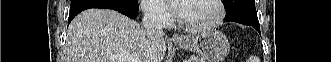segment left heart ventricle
Wrapping results in <instances>:
<instances>
[{
    "instance_id": "b2bd125f",
    "label": "left heart ventricle",
    "mask_w": 331,
    "mask_h": 62,
    "mask_svg": "<svg viewBox=\"0 0 331 62\" xmlns=\"http://www.w3.org/2000/svg\"><path fill=\"white\" fill-rule=\"evenodd\" d=\"M217 14V9L211 0H191L185 4L182 18L192 24H202L211 21Z\"/></svg>"
}]
</instances>
